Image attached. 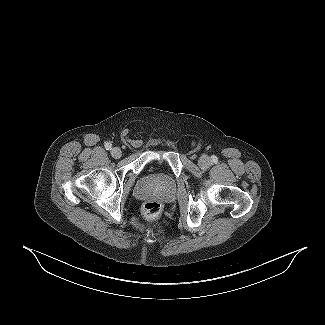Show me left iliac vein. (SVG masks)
Segmentation results:
<instances>
[{
  "label": "left iliac vein",
  "mask_w": 325,
  "mask_h": 325,
  "mask_svg": "<svg viewBox=\"0 0 325 325\" xmlns=\"http://www.w3.org/2000/svg\"><path fill=\"white\" fill-rule=\"evenodd\" d=\"M198 164L202 169H207L211 165V160L208 156L204 155L199 159Z\"/></svg>",
  "instance_id": "1"
}]
</instances>
